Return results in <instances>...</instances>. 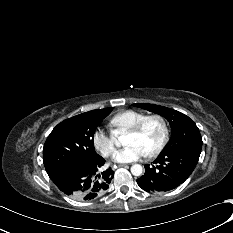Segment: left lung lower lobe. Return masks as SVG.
Instances as JSON below:
<instances>
[{"instance_id": "1", "label": "left lung lower lobe", "mask_w": 233, "mask_h": 233, "mask_svg": "<svg viewBox=\"0 0 233 233\" xmlns=\"http://www.w3.org/2000/svg\"><path fill=\"white\" fill-rule=\"evenodd\" d=\"M199 155L185 152H162L153 164L145 165V173L137 183L147 192H165L186 181L196 167Z\"/></svg>"}]
</instances>
